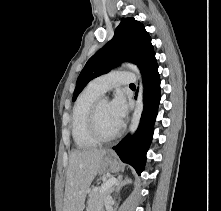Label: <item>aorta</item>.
<instances>
[{"mask_svg":"<svg viewBox=\"0 0 221 211\" xmlns=\"http://www.w3.org/2000/svg\"><path fill=\"white\" fill-rule=\"evenodd\" d=\"M123 65L131 69L132 71H134L139 80V85H138L139 90H138V96H137V101H136V107L132 116L131 125L129 129L130 134H134L139 126L141 115H142L143 108H144V102H143L144 87H143L142 77H141L139 68L132 63H124Z\"/></svg>","mask_w":221,"mask_h":211,"instance_id":"aorta-1","label":"aorta"}]
</instances>
